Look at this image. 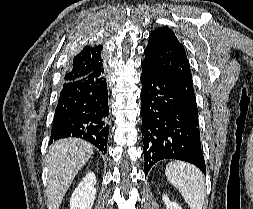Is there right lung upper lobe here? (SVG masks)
Here are the masks:
<instances>
[{
    "instance_id": "obj_1",
    "label": "right lung upper lobe",
    "mask_w": 253,
    "mask_h": 209,
    "mask_svg": "<svg viewBox=\"0 0 253 209\" xmlns=\"http://www.w3.org/2000/svg\"><path fill=\"white\" fill-rule=\"evenodd\" d=\"M102 45H87L77 54L64 77L65 82L75 81L103 70Z\"/></svg>"
}]
</instances>
